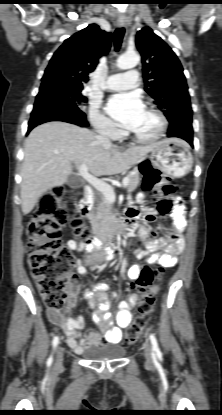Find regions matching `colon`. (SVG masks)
<instances>
[{
  "instance_id": "1",
  "label": "colon",
  "mask_w": 222,
  "mask_h": 415,
  "mask_svg": "<svg viewBox=\"0 0 222 415\" xmlns=\"http://www.w3.org/2000/svg\"><path fill=\"white\" fill-rule=\"evenodd\" d=\"M142 173L143 189L158 196V212L168 214L177 202L169 199L175 193L176 187L151 165L144 164ZM64 196L65 189L59 185L42 195L27 225L29 266L32 275L47 308L57 311L64 307L69 295L76 288L73 274L75 258L70 249L62 244V228L69 225L75 235L87 245L94 239L85 220L77 214L70 215L62 207L61 201ZM156 276L157 272L150 268H144L139 274L136 288L141 293V299L134 323L125 333V345H131L138 339L151 318L155 298L148 289Z\"/></svg>"
}]
</instances>
